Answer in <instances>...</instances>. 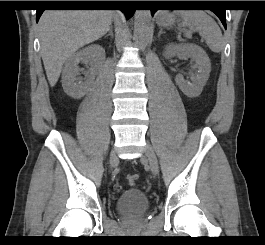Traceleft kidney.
Listing matches in <instances>:
<instances>
[{
    "instance_id": "1",
    "label": "left kidney",
    "mask_w": 265,
    "mask_h": 245,
    "mask_svg": "<svg viewBox=\"0 0 265 245\" xmlns=\"http://www.w3.org/2000/svg\"><path fill=\"white\" fill-rule=\"evenodd\" d=\"M164 55L167 58L183 55L190 57L195 62L193 68L197 69V73L192 77L191 82L185 80L181 74L176 76L175 82L186 96L190 98L198 97L211 71L210 59L206 52L196 44H169L165 48Z\"/></svg>"
}]
</instances>
